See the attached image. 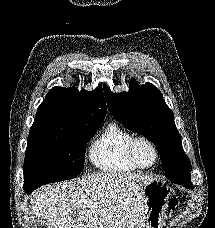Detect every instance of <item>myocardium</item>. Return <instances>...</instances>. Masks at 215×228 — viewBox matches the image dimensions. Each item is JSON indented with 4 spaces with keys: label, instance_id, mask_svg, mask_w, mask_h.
Instances as JSON below:
<instances>
[{
    "label": "myocardium",
    "instance_id": "myocardium-1",
    "mask_svg": "<svg viewBox=\"0 0 215 228\" xmlns=\"http://www.w3.org/2000/svg\"><path fill=\"white\" fill-rule=\"evenodd\" d=\"M140 143L147 144L151 148L153 153H154V162L150 166H147V167L146 166H142L137 161L136 148H137V146ZM126 153H127V158H128V161L130 162V164L133 167H135L136 169H139V170H151V169H153L158 164L159 158H160L159 150H158L156 144L151 139H149V138H147L145 136H135V137H133L130 140V142L128 143Z\"/></svg>",
    "mask_w": 215,
    "mask_h": 228
}]
</instances>
